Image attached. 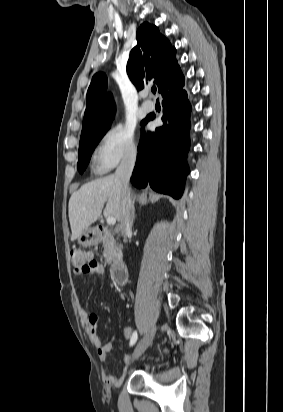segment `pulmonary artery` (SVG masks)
<instances>
[{
	"label": "pulmonary artery",
	"mask_w": 283,
	"mask_h": 412,
	"mask_svg": "<svg viewBox=\"0 0 283 412\" xmlns=\"http://www.w3.org/2000/svg\"><path fill=\"white\" fill-rule=\"evenodd\" d=\"M144 97H147V95H144ZM142 109L145 112H151L154 109V105L151 104L149 101H145L142 105Z\"/></svg>",
	"instance_id": "pulmonary-artery-1"
}]
</instances>
